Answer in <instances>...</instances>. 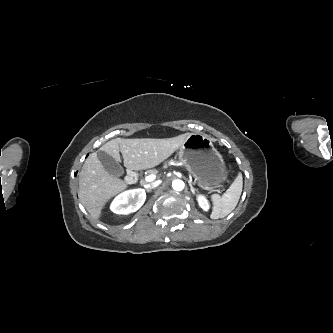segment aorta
<instances>
[{
	"mask_svg": "<svg viewBox=\"0 0 333 333\" xmlns=\"http://www.w3.org/2000/svg\"><path fill=\"white\" fill-rule=\"evenodd\" d=\"M172 187L176 191H181L184 189L185 184L182 180L176 179L172 182Z\"/></svg>",
	"mask_w": 333,
	"mask_h": 333,
	"instance_id": "obj_1",
	"label": "aorta"
}]
</instances>
